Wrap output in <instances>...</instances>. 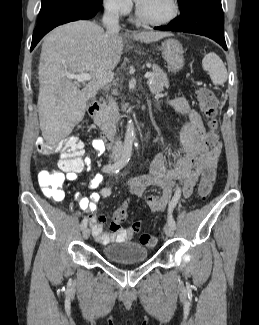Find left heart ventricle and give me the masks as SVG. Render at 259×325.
<instances>
[{
    "instance_id": "1",
    "label": "left heart ventricle",
    "mask_w": 259,
    "mask_h": 325,
    "mask_svg": "<svg viewBox=\"0 0 259 325\" xmlns=\"http://www.w3.org/2000/svg\"><path fill=\"white\" fill-rule=\"evenodd\" d=\"M140 5L143 12L152 18H162L170 12L169 0H146Z\"/></svg>"
}]
</instances>
